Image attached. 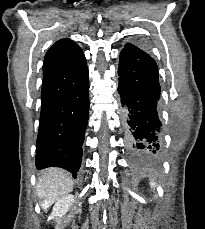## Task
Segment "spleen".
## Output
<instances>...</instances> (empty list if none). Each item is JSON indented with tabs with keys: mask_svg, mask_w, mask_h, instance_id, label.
<instances>
[{
	"mask_svg": "<svg viewBox=\"0 0 205 229\" xmlns=\"http://www.w3.org/2000/svg\"><path fill=\"white\" fill-rule=\"evenodd\" d=\"M152 188H155V183L153 181L150 182Z\"/></svg>",
	"mask_w": 205,
	"mask_h": 229,
	"instance_id": "1",
	"label": "spleen"
}]
</instances>
